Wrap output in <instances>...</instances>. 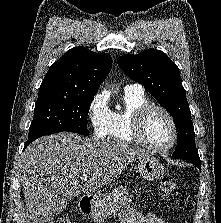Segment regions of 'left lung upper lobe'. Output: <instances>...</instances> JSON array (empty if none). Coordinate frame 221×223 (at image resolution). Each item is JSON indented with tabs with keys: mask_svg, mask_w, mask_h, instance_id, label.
<instances>
[{
	"mask_svg": "<svg viewBox=\"0 0 221 223\" xmlns=\"http://www.w3.org/2000/svg\"><path fill=\"white\" fill-rule=\"evenodd\" d=\"M118 65L131 79L141 83L172 115L178 132L175 159L200 161L195 145L191 112L177 65L160 50L118 57Z\"/></svg>",
	"mask_w": 221,
	"mask_h": 223,
	"instance_id": "1",
	"label": "left lung upper lobe"
}]
</instances>
